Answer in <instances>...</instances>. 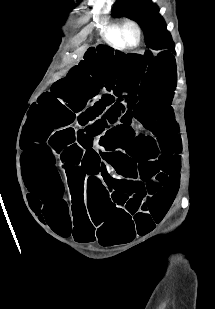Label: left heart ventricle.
Listing matches in <instances>:
<instances>
[{
    "label": "left heart ventricle",
    "mask_w": 215,
    "mask_h": 309,
    "mask_svg": "<svg viewBox=\"0 0 215 309\" xmlns=\"http://www.w3.org/2000/svg\"><path fill=\"white\" fill-rule=\"evenodd\" d=\"M126 40H127L128 42H132V41H133V36H132L131 33H128V34L126 35Z\"/></svg>",
    "instance_id": "left-heart-ventricle-1"
}]
</instances>
